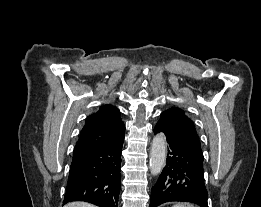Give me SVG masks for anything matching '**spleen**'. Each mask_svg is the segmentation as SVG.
Here are the masks:
<instances>
[{"label":"spleen","instance_id":"obj_1","mask_svg":"<svg viewBox=\"0 0 261 207\" xmlns=\"http://www.w3.org/2000/svg\"><path fill=\"white\" fill-rule=\"evenodd\" d=\"M173 207H194V206L186 203H177Z\"/></svg>","mask_w":261,"mask_h":207}]
</instances>
